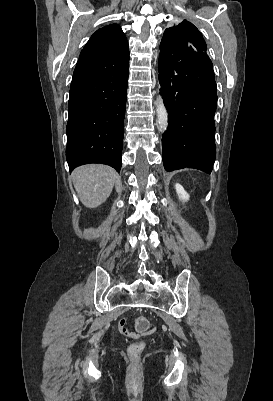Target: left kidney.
I'll return each mask as SVG.
<instances>
[{"instance_id": "1", "label": "left kidney", "mask_w": 273, "mask_h": 401, "mask_svg": "<svg viewBox=\"0 0 273 401\" xmlns=\"http://www.w3.org/2000/svg\"><path fill=\"white\" fill-rule=\"evenodd\" d=\"M175 188L179 198H181V201H184V203L185 201H189V194H187L186 190H184L181 184H178V182H176Z\"/></svg>"}]
</instances>
